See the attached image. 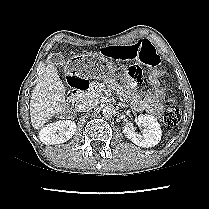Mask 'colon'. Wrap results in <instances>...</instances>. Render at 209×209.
Returning <instances> with one entry per match:
<instances>
[{
    "instance_id": "5ec220e1",
    "label": "colon",
    "mask_w": 209,
    "mask_h": 209,
    "mask_svg": "<svg viewBox=\"0 0 209 209\" xmlns=\"http://www.w3.org/2000/svg\"><path fill=\"white\" fill-rule=\"evenodd\" d=\"M99 53L105 57L121 60H137L152 68H156L160 64V56L154 45L148 40H141L129 46L115 48L105 46L99 50ZM156 73L158 74L159 72L156 71ZM180 119V108L176 104L167 105L163 113L164 124L168 127H174L179 123Z\"/></svg>"
}]
</instances>
